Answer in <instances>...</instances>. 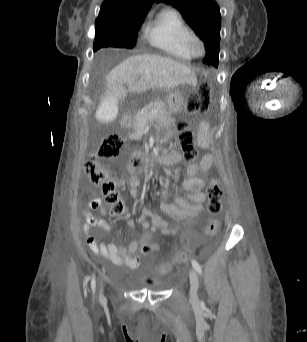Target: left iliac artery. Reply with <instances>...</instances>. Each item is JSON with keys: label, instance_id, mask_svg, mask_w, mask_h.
Here are the masks:
<instances>
[{"label": "left iliac artery", "instance_id": "obj_1", "mask_svg": "<svg viewBox=\"0 0 307 342\" xmlns=\"http://www.w3.org/2000/svg\"><path fill=\"white\" fill-rule=\"evenodd\" d=\"M193 268L198 272V274H202V269L200 264L196 260L191 261Z\"/></svg>", "mask_w": 307, "mask_h": 342}]
</instances>
